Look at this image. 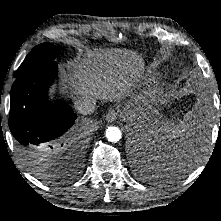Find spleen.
Returning <instances> with one entry per match:
<instances>
[{
	"mask_svg": "<svg viewBox=\"0 0 221 221\" xmlns=\"http://www.w3.org/2000/svg\"><path fill=\"white\" fill-rule=\"evenodd\" d=\"M179 119L162 124L161 131L166 134V138L172 140L178 136H183L189 129V124L182 125L178 123Z\"/></svg>",
	"mask_w": 221,
	"mask_h": 221,
	"instance_id": "obj_1",
	"label": "spleen"
}]
</instances>
